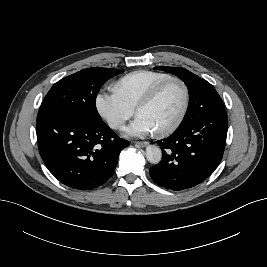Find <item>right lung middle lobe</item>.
Instances as JSON below:
<instances>
[{
    "label": "right lung middle lobe",
    "instance_id": "right-lung-middle-lobe-1",
    "mask_svg": "<svg viewBox=\"0 0 267 267\" xmlns=\"http://www.w3.org/2000/svg\"><path fill=\"white\" fill-rule=\"evenodd\" d=\"M122 71L94 67L81 70L55 83L43 100L91 123H102L96 109V97L102 85Z\"/></svg>",
    "mask_w": 267,
    "mask_h": 267
}]
</instances>
